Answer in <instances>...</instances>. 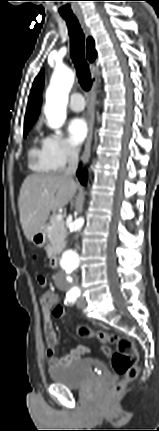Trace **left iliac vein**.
I'll list each match as a JSON object with an SVG mask.
<instances>
[{
  "mask_svg": "<svg viewBox=\"0 0 159 431\" xmlns=\"http://www.w3.org/2000/svg\"><path fill=\"white\" fill-rule=\"evenodd\" d=\"M86 302L83 296H80L76 302V305L78 308H83L85 306Z\"/></svg>",
  "mask_w": 159,
  "mask_h": 431,
  "instance_id": "left-iliac-vein-1",
  "label": "left iliac vein"
}]
</instances>
